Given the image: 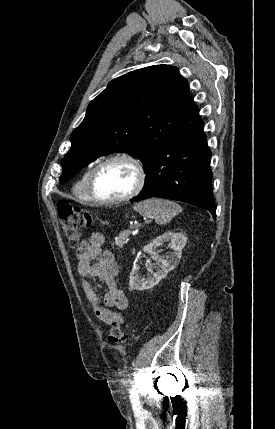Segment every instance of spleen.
Returning <instances> with one entry per match:
<instances>
[{
    "label": "spleen",
    "instance_id": "obj_1",
    "mask_svg": "<svg viewBox=\"0 0 275 429\" xmlns=\"http://www.w3.org/2000/svg\"><path fill=\"white\" fill-rule=\"evenodd\" d=\"M133 209L144 218H154L155 222L159 225L167 224L182 211L181 206L177 203L158 198L139 202Z\"/></svg>",
    "mask_w": 275,
    "mask_h": 429
}]
</instances>
